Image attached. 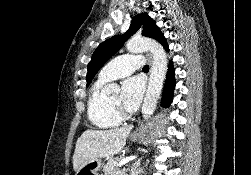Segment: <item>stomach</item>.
I'll list each match as a JSON object with an SVG mask.
<instances>
[{"label": "stomach", "instance_id": "stomach-1", "mask_svg": "<svg viewBox=\"0 0 251 175\" xmlns=\"http://www.w3.org/2000/svg\"><path fill=\"white\" fill-rule=\"evenodd\" d=\"M162 129V123L160 119H153L147 125H142V129H138V131H134L131 133L130 137L135 141V139H139V141H143V143H149L152 141L154 137H158L160 135ZM104 165L102 163V159L100 157H95V159H90L87 163H84L78 171H76V175H99V171Z\"/></svg>", "mask_w": 251, "mask_h": 175}]
</instances>
